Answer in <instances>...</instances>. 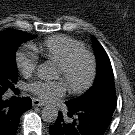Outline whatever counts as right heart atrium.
<instances>
[{"mask_svg": "<svg viewBox=\"0 0 135 135\" xmlns=\"http://www.w3.org/2000/svg\"><path fill=\"white\" fill-rule=\"evenodd\" d=\"M15 62L20 72L29 77L36 71L39 59L33 52L18 51L15 55Z\"/></svg>", "mask_w": 135, "mask_h": 135, "instance_id": "right-heart-atrium-1", "label": "right heart atrium"}]
</instances>
